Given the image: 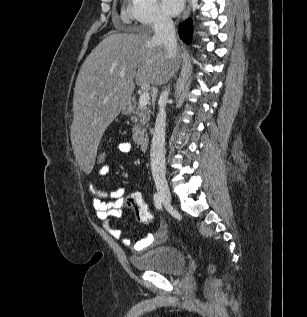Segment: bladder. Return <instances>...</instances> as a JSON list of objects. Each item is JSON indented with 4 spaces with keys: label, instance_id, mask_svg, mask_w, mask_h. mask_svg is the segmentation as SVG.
<instances>
[{
    "label": "bladder",
    "instance_id": "1",
    "mask_svg": "<svg viewBox=\"0 0 307 317\" xmlns=\"http://www.w3.org/2000/svg\"><path fill=\"white\" fill-rule=\"evenodd\" d=\"M130 261L137 270L155 271L164 275L176 274L185 267L182 252L171 246L156 247L141 256H132Z\"/></svg>",
    "mask_w": 307,
    "mask_h": 317
}]
</instances>
